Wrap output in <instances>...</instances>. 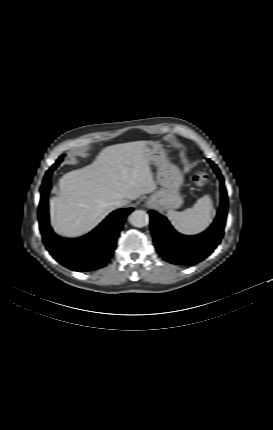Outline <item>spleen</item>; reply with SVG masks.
Wrapping results in <instances>:
<instances>
[{
	"label": "spleen",
	"mask_w": 273,
	"mask_h": 430,
	"mask_svg": "<svg viewBox=\"0 0 273 430\" xmlns=\"http://www.w3.org/2000/svg\"><path fill=\"white\" fill-rule=\"evenodd\" d=\"M212 200L205 195L192 208L178 212L169 210L167 217L172 226L183 235H196L208 228L212 221Z\"/></svg>",
	"instance_id": "1"
}]
</instances>
